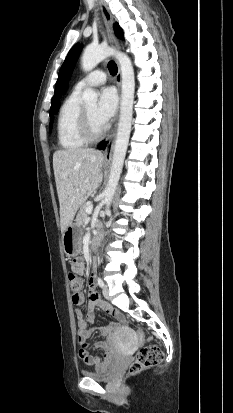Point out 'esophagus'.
<instances>
[{
  "instance_id": "esophagus-1",
  "label": "esophagus",
  "mask_w": 233,
  "mask_h": 413,
  "mask_svg": "<svg viewBox=\"0 0 233 413\" xmlns=\"http://www.w3.org/2000/svg\"><path fill=\"white\" fill-rule=\"evenodd\" d=\"M99 3H100V6H101L103 16H104L105 25H106V28H107L110 44L112 45V47L115 50H119L120 49V43H119L118 39L116 38V36L114 34V30H113V22H114L113 17L111 15L106 3L104 2V0H99ZM121 80H122L121 69H120V66L118 64V72L116 74V84H117L119 92L121 90ZM116 130H117V123H115L112 131L110 132V134L107 137V145H106L105 152H104V160L105 161H111V159H112V152H113V147H114V142H115V137H116Z\"/></svg>"
}]
</instances>
